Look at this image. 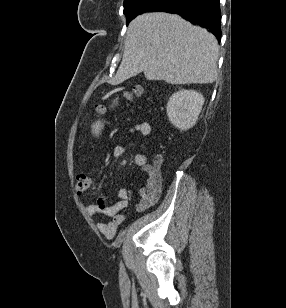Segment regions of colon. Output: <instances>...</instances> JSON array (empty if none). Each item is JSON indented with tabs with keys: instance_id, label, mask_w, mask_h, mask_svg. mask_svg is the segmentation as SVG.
I'll use <instances>...</instances> for the list:
<instances>
[{
	"instance_id": "5ec220e1",
	"label": "colon",
	"mask_w": 286,
	"mask_h": 308,
	"mask_svg": "<svg viewBox=\"0 0 286 308\" xmlns=\"http://www.w3.org/2000/svg\"><path fill=\"white\" fill-rule=\"evenodd\" d=\"M145 92V89L141 86H136L133 90L126 94V97L130 101H134L137 97H140ZM104 109L102 105L97 107L98 112ZM94 181L93 178L86 173L78 174L76 177V191L77 192H85L93 187Z\"/></svg>"
}]
</instances>
